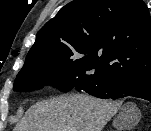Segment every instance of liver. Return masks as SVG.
Returning a JSON list of instances; mask_svg holds the SVG:
<instances>
[{"mask_svg":"<svg viewBox=\"0 0 151 131\" xmlns=\"http://www.w3.org/2000/svg\"><path fill=\"white\" fill-rule=\"evenodd\" d=\"M120 104L73 94L33 104L13 131H102Z\"/></svg>","mask_w":151,"mask_h":131,"instance_id":"obj_1","label":"liver"}]
</instances>
